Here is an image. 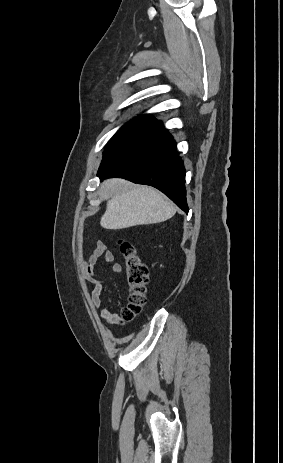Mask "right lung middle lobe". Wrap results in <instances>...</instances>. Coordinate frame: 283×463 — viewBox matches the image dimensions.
<instances>
[{
    "label": "right lung middle lobe",
    "mask_w": 283,
    "mask_h": 463,
    "mask_svg": "<svg viewBox=\"0 0 283 463\" xmlns=\"http://www.w3.org/2000/svg\"><path fill=\"white\" fill-rule=\"evenodd\" d=\"M155 120L156 119L152 115H143L131 120L117 131V133L108 143L107 147L111 146L112 144L116 143L117 141L121 140L127 135L150 125Z\"/></svg>",
    "instance_id": "obj_1"
}]
</instances>
